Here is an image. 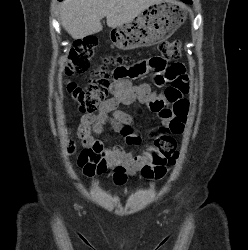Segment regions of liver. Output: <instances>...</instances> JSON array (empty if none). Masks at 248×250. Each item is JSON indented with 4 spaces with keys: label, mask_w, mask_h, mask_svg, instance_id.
Instances as JSON below:
<instances>
[{
    "label": "liver",
    "mask_w": 248,
    "mask_h": 250,
    "mask_svg": "<svg viewBox=\"0 0 248 250\" xmlns=\"http://www.w3.org/2000/svg\"><path fill=\"white\" fill-rule=\"evenodd\" d=\"M164 0H63L59 6L63 28L74 38L102 30L101 19L116 28L129 23L146 8Z\"/></svg>",
    "instance_id": "liver-1"
}]
</instances>
